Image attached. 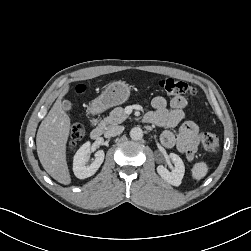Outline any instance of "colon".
I'll return each instance as SVG.
<instances>
[{"instance_id":"colon-1","label":"colon","mask_w":251,"mask_h":251,"mask_svg":"<svg viewBox=\"0 0 251 251\" xmlns=\"http://www.w3.org/2000/svg\"><path fill=\"white\" fill-rule=\"evenodd\" d=\"M158 88L170 96H181L186 95L189 97L196 96V89L189 83L172 79V78H161L157 82ZM84 136V127L81 123H74L70 130L69 135V146L74 148ZM200 140L203 149L208 155H214L219 148V138L210 132H202Z\"/></svg>"}]
</instances>
